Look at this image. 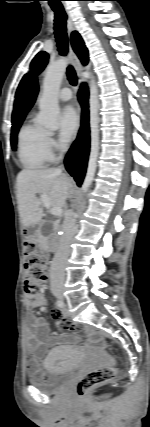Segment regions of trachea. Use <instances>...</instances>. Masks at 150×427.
<instances>
[{
	"label": "trachea",
	"mask_w": 150,
	"mask_h": 427,
	"mask_svg": "<svg viewBox=\"0 0 150 427\" xmlns=\"http://www.w3.org/2000/svg\"><path fill=\"white\" fill-rule=\"evenodd\" d=\"M52 10L55 13L54 19V30L55 38L57 42V47L60 55L66 56L68 53V39L66 33V20L67 14L64 10V7L60 3H50ZM67 78L69 82L76 86L77 76L73 66L69 65L67 68Z\"/></svg>",
	"instance_id": "obj_1"
}]
</instances>
